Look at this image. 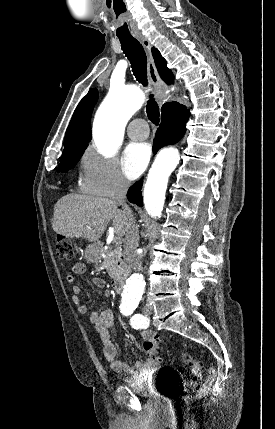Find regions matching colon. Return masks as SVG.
Here are the masks:
<instances>
[{"label": "colon", "instance_id": "5ec220e1", "mask_svg": "<svg viewBox=\"0 0 275 429\" xmlns=\"http://www.w3.org/2000/svg\"><path fill=\"white\" fill-rule=\"evenodd\" d=\"M55 250L58 258L61 260L70 261L73 258V245L66 237L60 235L57 236ZM158 344L159 338L154 341H148L144 344L145 352L155 360L158 359L156 357V350ZM184 363L189 367L191 371V378L182 380L179 384V389L186 394L182 398V401L188 403L193 399L201 397L205 393L208 388V385L211 382V377L206 382H201V363L190 355L184 356Z\"/></svg>", "mask_w": 275, "mask_h": 429}]
</instances>
